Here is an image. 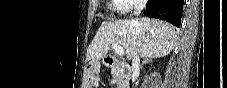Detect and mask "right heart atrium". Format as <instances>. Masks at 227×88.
I'll use <instances>...</instances> for the list:
<instances>
[{
  "instance_id": "obj_1",
  "label": "right heart atrium",
  "mask_w": 227,
  "mask_h": 88,
  "mask_svg": "<svg viewBox=\"0 0 227 88\" xmlns=\"http://www.w3.org/2000/svg\"><path fill=\"white\" fill-rule=\"evenodd\" d=\"M123 3L124 11L127 13H133L140 11L144 8L146 0H121Z\"/></svg>"
}]
</instances>
